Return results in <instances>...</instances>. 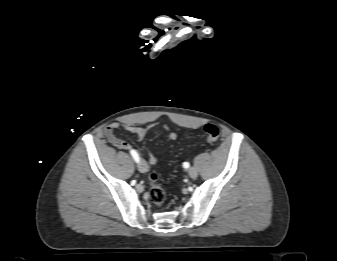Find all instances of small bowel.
Here are the masks:
<instances>
[{
  "mask_svg": "<svg viewBox=\"0 0 337 261\" xmlns=\"http://www.w3.org/2000/svg\"><path fill=\"white\" fill-rule=\"evenodd\" d=\"M123 128L132 134L137 140H142L146 137V135L154 130L158 129L161 132L168 133V140L174 141L177 138V135L174 132H170L168 125L162 123H153L146 126H135V125H121L120 123L114 122L111 124L106 125L103 128V133L109 142L116 148L120 150H133L131 149L130 144L124 140L119 138L116 135V130ZM135 151V150H134ZM144 156V162L148 165H154L157 163V158L150 154H145L140 152Z\"/></svg>",
  "mask_w": 337,
  "mask_h": 261,
  "instance_id": "1",
  "label": "small bowel"
}]
</instances>
